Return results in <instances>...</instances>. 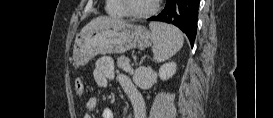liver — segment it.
Returning <instances> with one entry per match:
<instances>
[{
	"label": "liver",
	"mask_w": 273,
	"mask_h": 118,
	"mask_svg": "<svg viewBox=\"0 0 273 118\" xmlns=\"http://www.w3.org/2000/svg\"><path fill=\"white\" fill-rule=\"evenodd\" d=\"M115 21L116 20L109 18V17H97V18L93 19L92 21H90L86 26H84L81 30V33H85L88 30H91L95 27L107 25V24H110Z\"/></svg>",
	"instance_id": "1"
}]
</instances>
